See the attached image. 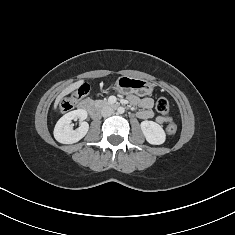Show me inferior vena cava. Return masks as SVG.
Instances as JSON below:
<instances>
[{
  "instance_id": "1",
  "label": "inferior vena cava",
  "mask_w": 235,
  "mask_h": 235,
  "mask_svg": "<svg viewBox=\"0 0 235 235\" xmlns=\"http://www.w3.org/2000/svg\"><path fill=\"white\" fill-rule=\"evenodd\" d=\"M113 114V109L110 106H104L101 110V115L103 117H109Z\"/></svg>"
}]
</instances>
